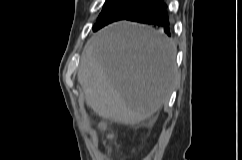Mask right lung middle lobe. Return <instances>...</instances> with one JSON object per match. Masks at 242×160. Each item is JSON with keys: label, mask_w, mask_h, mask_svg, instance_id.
Instances as JSON below:
<instances>
[{"label": "right lung middle lobe", "mask_w": 242, "mask_h": 160, "mask_svg": "<svg viewBox=\"0 0 242 160\" xmlns=\"http://www.w3.org/2000/svg\"><path fill=\"white\" fill-rule=\"evenodd\" d=\"M148 0H106L93 31H97L105 25L124 19L130 12L147 2Z\"/></svg>", "instance_id": "right-lung-middle-lobe-1"}]
</instances>
